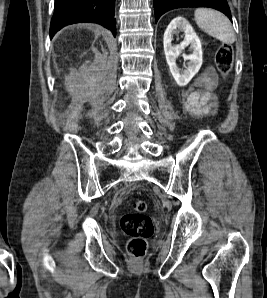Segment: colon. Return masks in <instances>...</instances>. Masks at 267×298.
<instances>
[{
    "instance_id": "1",
    "label": "colon",
    "mask_w": 267,
    "mask_h": 298,
    "mask_svg": "<svg viewBox=\"0 0 267 298\" xmlns=\"http://www.w3.org/2000/svg\"><path fill=\"white\" fill-rule=\"evenodd\" d=\"M216 66L222 76H227L233 66V49L229 44H222L216 53ZM147 204L143 200L132 203V210L122 215L121 230L129 237L127 250L135 258H142L147 250L148 240L154 233V225L146 214Z\"/></svg>"
}]
</instances>
